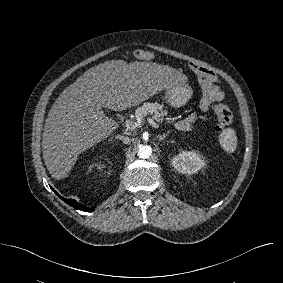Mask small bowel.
Segmentation results:
<instances>
[{
    "label": "small bowel",
    "mask_w": 283,
    "mask_h": 283,
    "mask_svg": "<svg viewBox=\"0 0 283 283\" xmlns=\"http://www.w3.org/2000/svg\"><path fill=\"white\" fill-rule=\"evenodd\" d=\"M191 70L198 76L202 87L203 96L200 102L201 111L206 112L212 102L223 99V93L217 86L216 74L208 68L195 63L190 64ZM198 116L193 114L186 119L178 120L176 126L180 129L189 128L197 120Z\"/></svg>",
    "instance_id": "small-bowel-1"
}]
</instances>
